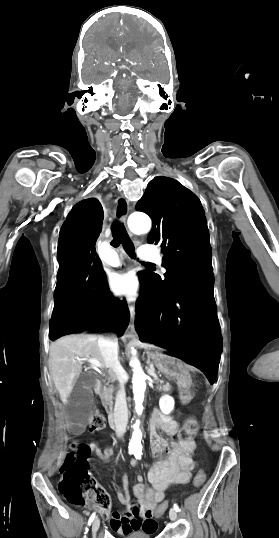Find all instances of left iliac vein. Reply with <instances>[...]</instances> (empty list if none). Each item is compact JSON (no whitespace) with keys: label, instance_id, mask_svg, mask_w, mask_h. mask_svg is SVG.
Instances as JSON below:
<instances>
[{"label":"left iliac vein","instance_id":"1","mask_svg":"<svg viewBox=\"0 0 279 538\" xmlns=\"http://www.w3.org/2000/svg\"><path fill=\"white\" fill-rule=\"evenodd\" d=\"M169 517L172 521H175L177 519V512L175 509L171 508L169 511Z\"/></svg>","mask_w":279,"mask_h":538}]
</instances>
